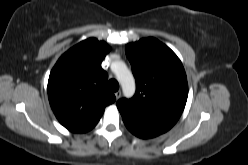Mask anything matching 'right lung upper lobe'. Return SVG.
Instances as JSON below:
<instances>
[{
	"label": "right lung upper lobe",
	"mask_w": 248,
	"mask_h": 165,
	"mask_svg": "<svg viewBox=\"0 0 248 165\" xmlns=\"http://www.w3.org/2000/svg\"><path fill=\"white\" fill-rule=\"evenodd\" d=\"M110 47L95 38L81 41L64 53L48 80V98L59 122L74 133L98 123L115 96L107 89L108 75L101 62Z\"/></svg>",
	"instance_id": "right-lung-upper-lobe-1"
}]
</instances>
